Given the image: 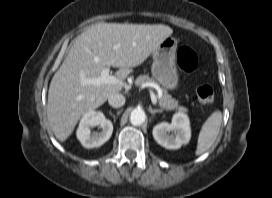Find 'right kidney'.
Returning <instances> with one entry per match:
<instances>
[{
  "label": "right kidney",
  "instance_id": "right-kidney-1",
  "mask_svg": "<svg viewBox=\"0 0 272 198\" xmlns=\"http://www.w3.org/2000/svg\"><path fill=\"white\" fill-rule=\"evenodd\" d=\"M94 126H100L102 131L92 133L91 128ZM112 132V122L102 112L92 110L83 115L76 134L83 147L89 149L103 145L110 139Z\"/></svg>",
  "mask_w": 272,
  "mask_h": 198
}]
</instances>
